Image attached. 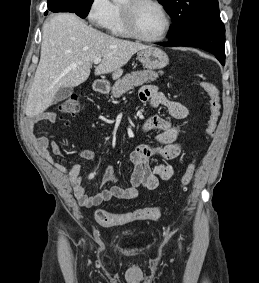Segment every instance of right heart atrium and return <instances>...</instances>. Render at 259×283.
<instances>
[{
    "mask_svg": "<svg viewBox=\"0 0 259 283\" xmlns=\"http://www.w3.org/2000/svg\"><path fill=\"white\" fill-rule=\"evenodd\" d=\"M113 3L110 0H91L87 17L97 28L105 27L111 17Z\"/></svg>",
    "mask_w": 259,
    "mask_h": 283,
    "instance_id": "d8ad5b80",
    "label": "right heart atrium"
}]
</instances>
